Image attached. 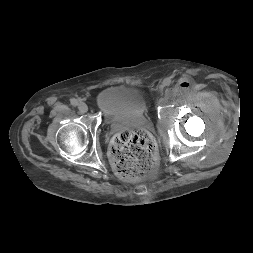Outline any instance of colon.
Wrapping results in <instances>:
<instances>
[{"label": "colon", "instance_id": "5ec220e1", "mask_svg": "<svg viewBox=\"0 0 253 253\" xmlns=\"http://www.w3.org/2000/svg\"><path fill=\"white\" fill-rule=\"evenodd\" d=\"M110 157L116 174L124 180H136L149 174L155 163L151 137L143 130L126 129L112 140Z\"/></svg>", "mask_w": 253, "mask_h": 253}]
</instances>
